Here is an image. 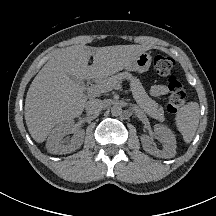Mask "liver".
Returning a JSON list of instances; mask_svg holds the SVG:
<instances>
[{
	"label": "liver",
	"mask_w": 216,
	"mask_h": 216,
	"mask_svg": "<svg viewBox=\"0 0 216 216\" xmlns=\"http://www.w3.org/2000/svg\"><path fill=\"white\" fill-rule=\"evenodd\" d=\"M147 50L142 45H74L56 51L27 92L25 120L32 138L42 143L55 125L83 113L87 96L70 75L78 80L103 79L125 69ZM91 56L93 64L89 66Z\"/></svg>",
	"instance_id": "1"
}]
</instances>
